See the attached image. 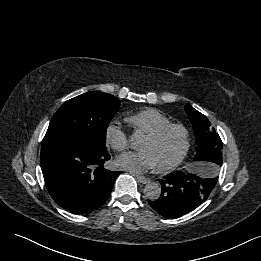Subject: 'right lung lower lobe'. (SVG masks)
Returning a JSON list of instances; mask_svg holds the SVG:
<instances>
[{
  "mask_svg": "<svg viewBox=\"0 0 261 261\" xmlns=\"http://www.w3.org/2000/svg\"><path fill=\"white\" fill-rule=\"evenodd\" d=\"M110 158L106 147L88 143L41 149V169L52 199L75 214L96 210L108 199L120 174L103 167Z\"/></svg>",
  "mask_w": 261,
  "mask_h": 261,
  "instance_id": "obj_1",
  "label": "right lung lower lobe"
}]
</instances>
